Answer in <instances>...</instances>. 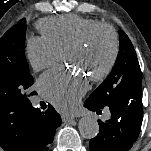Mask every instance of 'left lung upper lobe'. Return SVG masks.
<instances>
[{"label": "left lung upper lobe", "instance_id": "5c2ea615", "mask_svg": "<svg viewBox=\"0 0 151 151\" xmlns=\"http://www.w3.org/2000/svg\"><path fill=\"white\" fill-rule=\"evenodd\" d=\"M120 49L109 76L88 97L97 108L118 103L133 86H141L142 73L135 49L123 31H119Z\"/></svg>", "mask_w": 151, "mask_h": 151}]
</instances>
